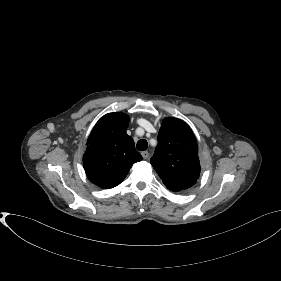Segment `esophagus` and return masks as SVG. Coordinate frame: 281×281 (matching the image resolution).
Masks as SVG:
<instances>
[{
  "instance_id": "34e87169",
  "label": "esophagus",
  "mask_w": 281,
  "mask_h": 281,
  "mask_svg": "<svg viewBox=\"0 0 281 281\" xmlns=\"http://www.w3.org/2000/svg\"><path fill=\"white\" fill-rule=\"evenodd\" d=\"M141 155H142V157H143L144 159H148V157H149V152H148V151H143V152H141Z\"/></svg>"
}]
</instances>
